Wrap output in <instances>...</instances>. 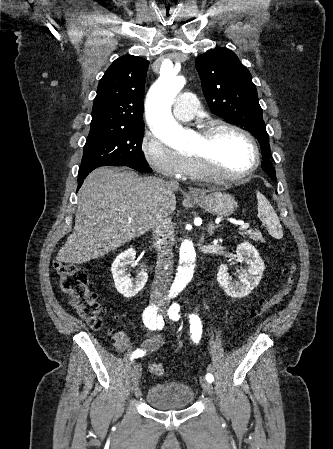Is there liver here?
Returning a JSON list of instances; mask_svg holds the SVG:
<instances>
[{"mask_svg":"<svg viewBox=\"0 0 333 449\" xmlns=\"http://www.w3.org/2000/svg\"><path fill=\"white\" fill-rule=\"evenodd\" d=\"M177 189L176 183L140 177L131 169H95L78 192L74 230L58 258L84 263L143 235L155 214L174 212Z\"/></svg>","mask_w":333,"mask_h":449,"instance_id":"liver-1","label":"liver"}]
</instances>
